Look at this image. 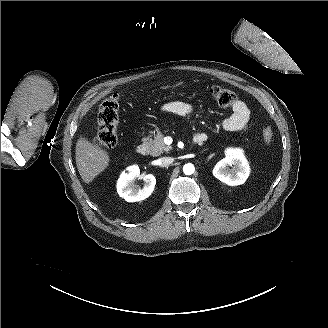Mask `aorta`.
Masks as SVG:
<instances>
[{
  "mask_svg": "<svg viewBox=\"0 0 328 328\" xmlns=\"http://www.w3.org/2000/svg\"><path fill=\"white\" fill-rule=\"evenodd\" d=\"M195 171V167L191 163H187L183 166V172L185 175H192Z\"/></svg>",
  "mask_w": 328,
  "mask_h": 328,
  "instance_id": "aorta-1",
  "label": "aorta"
}]
</instances>
